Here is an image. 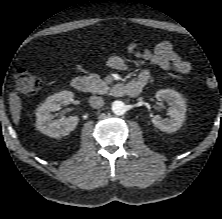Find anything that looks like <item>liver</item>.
<instances>
[{"label": "liver", "mask_w": 222, "mask_h": 219, "mask_svg": "<svg viewBox=\"0 0 222 219\" xmlns=\"http://www.w3.org/2000/svg\"><path fill=\"white\" fill-rule=\"evenodd\" d=\"M9 106H10L12 119L14 123L18 125L19 120H20L22 106H21L20 97L16 94V92H11L9 94Z\"/></svg>", "instance_id": "liver-1"}]
</instances>
